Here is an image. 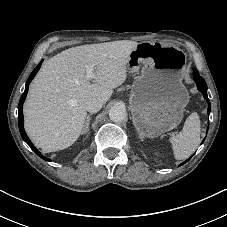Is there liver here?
Segmentation results:
<instances>
[{"label":"liver","instance_id":"1","mask_svg":"<svg viewBox=\"0 0 227 227\" xmlns=\"http://www.w3.org/2000/svg\"><path fill=\"white\" fill-rule=\"evenodd\" d=\"M135 41L119 40L72 47L45 62L30 86L24 104V127L43 152L71 146L86 122L85 103L100 98L106 103L113 89L127 77ZM93 66L94 78L86 77Z\"/></svg>","mask_w":227,"mask_h":227}]
</instances>
